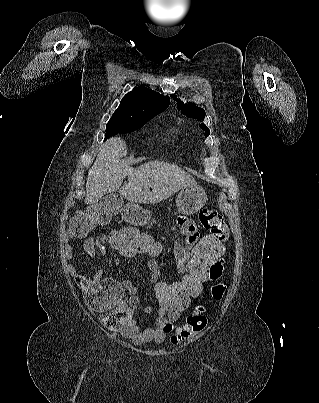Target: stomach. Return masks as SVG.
Returning <instances> with one entry per match:
<instances>
[{"instance_id":"obj_1","label":"stomach","mask_w":319,"mask_h":403,"mask_svg":"<svg viewBox=\"0 0 319 403\" xmlns=\"http://www.w3.org/2000/svg\"><path fill=\"white\" fill-rule=\"evenodd\" d=\"M206 200L205 190L201 186L194 184L182 188L177 197L176 206L179 213L192 215L205 205ZM148 219L149 215H147L146 210H142L137 206L131 207V214L128 216L129 224H137V226L147 228Z\"/></svg>"}]
</instances>
